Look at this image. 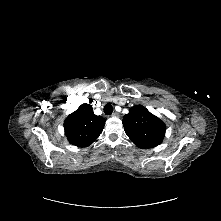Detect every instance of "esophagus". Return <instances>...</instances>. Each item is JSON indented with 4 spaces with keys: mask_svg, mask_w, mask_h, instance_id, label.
I'll return each instance as SVG.
<instances>
[{
    "mask_svg": "<svg viewBox=\"0 0 221 221\" xmlns=\"http://www.w3.org/2000/svg\"><path fill=\"white\" fill-rule=\"evenodd\" d=\"M112 118H118L119 117V113L118 112H114L112 115H111Z\"/></svg>",
    "mask_w": 221,
    "mask_h": 221,
    "instance_id": "obj_1",
    "label": "esophagus"
}]
</instances>
